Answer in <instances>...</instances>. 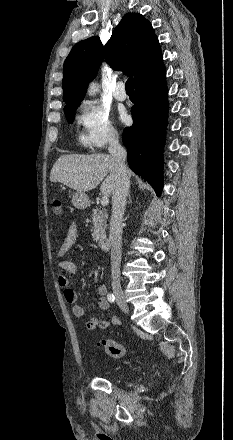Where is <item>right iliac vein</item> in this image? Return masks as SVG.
<instances>
[{
    "mask_svg": "<svg viewBox=\"0 0 233 440\" xmlns=\"http://www.w3.org/2000/svg\"><path fill=\"white\" fill-rule=\"evenodd\" d=\"M113 292L116 297L118 305L121 307V309L123 311L128 312V305L125 300V297H124V294H123L121 287L119 285H114Z\"/></svg>",
    "mask_w": 233,
    "mask_h": 440,
    "instance_id": "right-iliac-vein-1",
    "label": "right iliac vein"
}]
</instances>
